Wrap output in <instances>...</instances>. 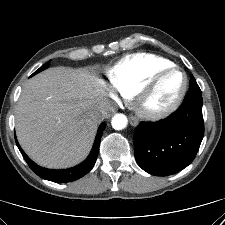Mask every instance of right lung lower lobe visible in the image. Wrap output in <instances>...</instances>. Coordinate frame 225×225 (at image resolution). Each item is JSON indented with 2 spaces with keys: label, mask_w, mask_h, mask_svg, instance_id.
Returning <instances> with one entry per match:
<instances>
[{
  "label": "right lung lower lobe",
  "mask_w": 225,
  "mask_h": 225,
  "mask_svg": "<svg viewBox=\"0 0 225 225\" xmlns=\"http://www.w3.org/2000/svg\"><path fill=\"white\" fill-rule=\"evenodd\" d=\"M105 126H106V123L104 122L100 125L98 129V133L96 135L93 149L90 155L88 156V158L81 164L69 169L51 170V169L40 167L36 163H34L31 159L28 158V156L24 153V151L19 146L17 140H16V144L23 158L25 159V161L27 162V164L29 165V167L32 169L34 173H36L41 178L49 180V181H53L56 183H67V182L75 181L83 177L93 168L97 159L101 135L105 129Z\"/></svg>",
  "instance_id": "1"
}]
</instances>
